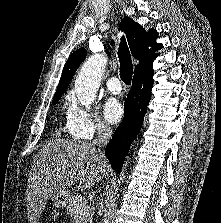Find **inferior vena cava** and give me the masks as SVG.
<instances>
[{
    "mask_svg": "<svg viewBox=\"0 0 221 223\" xmlns=\"http://www.w3.org/2000/svg\"><path fill=\"white\" fill-rule=\"evenodd\" d=\"M112 129L110 126L104 123H99L97 125V137L93 140L92 145L103 147L108 143L111 138Z\"/></svg>",
    "mask_w": 221,
    "mask_h": 223,
    "instance_id": "inferior-vena-cava-1",
    "label": "inferior vena cava"
}]
</instances>
